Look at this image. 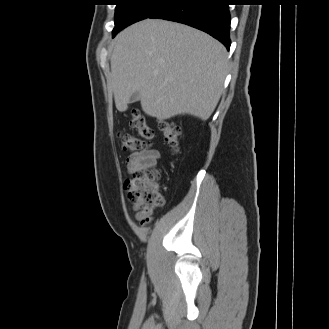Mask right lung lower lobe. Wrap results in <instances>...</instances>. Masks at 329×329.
I'll return each instance as SVG.
<instances>
[{"instance_id":"obj_1","label":"right lung lower lobe","mask_w":329,"mask_h":329,"mask_svg":"<svg viewBox=\"0 0 329 329\" xmlns=\"http://www.w3.org/2000/svg\"><path fill=\"white\" fill-rule=\"evenodd\" d=\"M229 0H173L149 18H160L200 29L230 48Z\"/></svg>"}]
</instances>
